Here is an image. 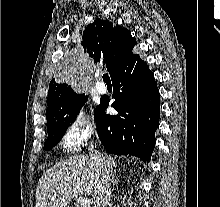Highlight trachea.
<instances>
[{"instance_id":"obj_1","label":"trachea","mask_w":220,"mask_h":207,"mask_svg":"<svg viewBox=\"0 0 220 207\" xmlns=\"http://www.w3.org/2000/svg\"><path fill=\"white\" fill-rule=\"evenodd\" d=\"M103 80H104L106 83H111V80H110V77L108 76V74H104V75H103Z\"/></svg>"}]
</instances>
